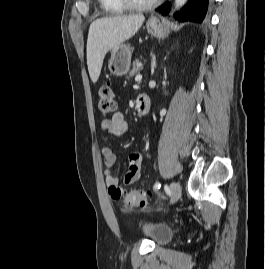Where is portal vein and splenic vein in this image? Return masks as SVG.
<instances>
[{"label":"portal vein and splenic vein","mask_w":265,"mask_h":269,"mask_svg":"<svg viewBox=\"0 0 265 269\" xmlns=\"http://www.w3.org/2000/svg\"><path fill=\"white\" fill-rule=\"evenodd\" d=\"M142 80V75H137L136 77H135V81H137V82H139V81H141Z\"/></svg>","instance_id":"obj_1"}]
</instances>
